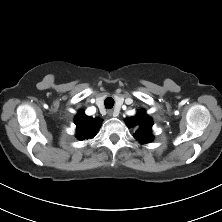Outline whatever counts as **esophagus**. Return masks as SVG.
<instances>
[{"instance_id":"esophagus-1","label":"esophagus","mask_w":222,"mask_h":222,"mask_svg":"<svg viewBox=\"0 0 222 222\" xmlns=\"http://www.w3.org/2000/svg\"><path fill=\"white\" fill-rule=\"evenodd\" d=\"M107 113L110 117H117V114L113 110H108Z\"/></svg>"}]
</instances>
